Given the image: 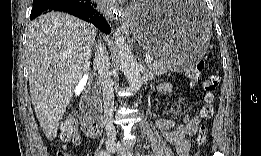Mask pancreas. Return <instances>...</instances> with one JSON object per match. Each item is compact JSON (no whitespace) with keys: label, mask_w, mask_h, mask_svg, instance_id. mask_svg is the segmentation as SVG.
<instances>
[{"label":"pancreas","mask_w":261,"mask_h":156,"mask_svg":"<svg viewBox=\"0 0 261 156\" xmlns=\"http://www.w3.org/2000/svg\"><path fill=\"white\" fill-rule=\"evenodd\" d=\"M148 67L154 74L157 75H161L169 69L166 63L155 57L152 62L148 63Z\"/></svg>","instance_id":"1"}]
</instances>
